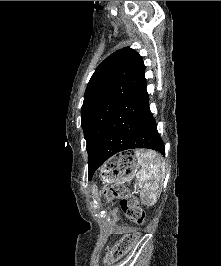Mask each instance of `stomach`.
Masks as SVG:
<instances>
[{"instance_id": "stomach-1", "label": "stomach", "mask_w": 221, "mask_h": 266, "mask_svg": "<svg viewBox=\"0 0 221 266\" xmlns=\"http://www.w3.org/2000/svg\"><path fill=\"white\" fill-rule=\"evenodd\" d=\"M139 168L136 156L131 152H123L103 165L101 178L107 184L129 182L137 175Z\"/></svg>"}]
</instances>
